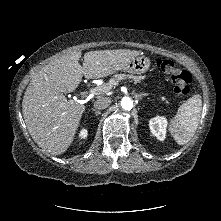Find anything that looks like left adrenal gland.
<instances>
[{"mask_svg": "<svg viewBox=\"0 0 221 221\" xmlns=\"http://www.w3.org/2000/svg\"><path fill=\"white\" fill-rule=\"evenodd\" d=\"M136 98L141 99L143 96H148V93L136 94Z\"/></svg>", "mask_w": 221, "mask_h": 221, "instance_id": "1", "label": "left adrenal gland"}]
</instances>
